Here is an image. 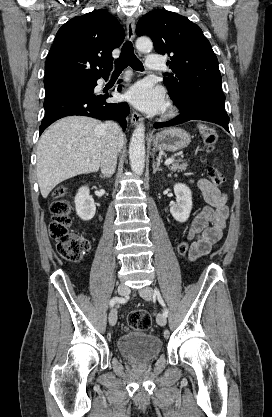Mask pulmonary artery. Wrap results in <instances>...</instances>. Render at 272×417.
I'll list each match as a JSON object with an SVG mask.
<instances>
[{"label":"pulmonary artery","instance_id":"e3ab8cb5","mask_svg":"<svg viewBox=\"0 0 272 417\" xmlns=\"http://www.w3.org/2000/svg\"><path fill=\"white\" fill-rule=\"evenodd\" d=\"M146 67L150 70L162 69L163 63L161 57L155 54L148 55L146 60Z\"/></svg>","mask_w":272,"mask_h":417}]
</instances>
